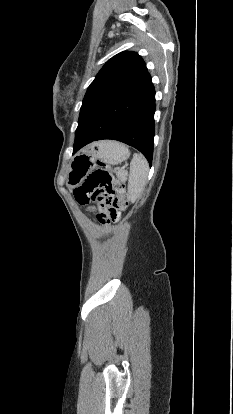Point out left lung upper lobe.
<instances>
[{
    "label": "left lung upper lobe",
    "instance_id": "5c2ea615",
    "mask_svg": "<svg viewBox=\"0 0 233 414\" xmlns=\"http://www.w3.org/2000/svg\"><path fill=\"white\" fill-rule=\"evenodd\" d=\"M147 73L145 62L137 53L124 51L115 55L88 87L80 113L91 103L126 89Z\"/></svg>",
    "mask_w": 233,
    "mask_h": 414
}]
</instances>
